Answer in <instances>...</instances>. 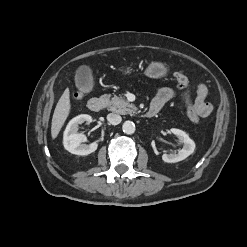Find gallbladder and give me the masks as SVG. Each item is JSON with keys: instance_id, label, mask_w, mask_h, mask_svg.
<instances>
[{"instance_id": "1", "label": "gallbladder", "mask_w": 247, "mask_h": 247, "mask_svg": "<svg viewBox=\"0 0 247 247\" xmlns=\"http://www.w3.org/2000/svg\"><path fill=\"white\" fill-rule=\"evenodd\" d=\"M75 84L84 93L90 92L93 88V76L89 66L81 65L76 70Z\"/></svg>"}]
</instances>
